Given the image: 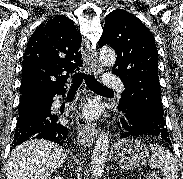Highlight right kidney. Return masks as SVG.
<instances>
[{
    "instance_id": "1",
    "label": "right kidney",
    "mask_w": 183,
    "mask_h": 179,
    "mask_svg": "<svg viewBox=\"0 0 183 179\" xmlns=\"http://www.w3.org/2000/svg\"><path fill=\"white\" fill-rule=\"evenodd\" d=\"M52 179H64L62 176H55L54 178Z\"/></svg>"
}]
</instances>
